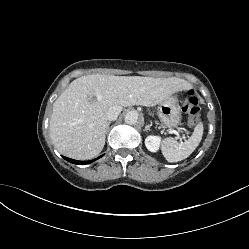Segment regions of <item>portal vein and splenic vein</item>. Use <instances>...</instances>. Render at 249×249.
<instances>
[{
  "label": "portal vein and splenic vein",
  "mask_w": 249,
  "mask_h": 249,
  "mask_svg": "<svg viewBox=\"0 0 249 249\" xmlns=\"http://www.w3.org/2000/svg\"><path fill=\"white\" fill-rule=\"evenodd\" d=\"M172 133H174L179 139L185 138L184 136L181 137L178 131H172Z\"/></svg>",
  "instance_id": "18ae733b"
}]
</instances>
